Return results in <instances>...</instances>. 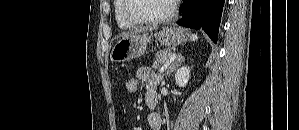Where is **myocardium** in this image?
Masks as SVG:
<instances>
[{
  "mask_svg": "<svg viewBox=\"0 0 299 130\" xmlns=\"http://www.w3.org/2000/svg\"><path fill=\"white\" fill-rule=\"evenodd\" d=\"M133 0H125V7H124V15L126 19L135 24V25H141V26H147V25H155V24H161L169 21L175 13L176 10V2L172 1L169 7L168 12L159 17L155 18H149V19H141L136 17L134 14L131 12V4Z\"/></svg>",
  "mask_w": 299,
  "mask_h": 130,
  "instance_id": "1",
  "label": "myocardium"
}]
</instances>
